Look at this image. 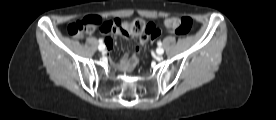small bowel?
Returning a JSON list of instances; mask_svg holds the SVG:
<instances>
[{
	"label": "small bowel",
	"instance_id": "obj_1",
	"mask_svg": "<svg viewBox=\"0 0 276 120\" xmlns=\"http://www.w3.org/2000/svg\"><path fill=\"white\" fill-rule=\"evenodd\" d=\"M149 39L141 38L140 44H145ZM106 47L107 49H111L114 45V41L112 38L105 39ZM140 51V46H136L133 53L130 56H124L122 59V64L120 69L124 72H130L132 71L138 64L139 58L138 54Z\"/></svg>",
	"mask_w": 276,
	"mask_h": 120
}]
</instances>
